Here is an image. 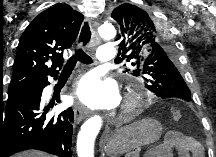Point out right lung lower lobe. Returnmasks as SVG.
Segmentation results:
<instances>
[{
    "label": "right lung lower lobe",
    "instance_id": "1",
    "mask_svg": "<svg viewBox=\"0 0 216 157\" xmlns=\"http://www.w3.org/2000/svg\"><path fill=\"white\" fill-rule=\"evenodd\" d=\"M47 85L48 80L24 88L0 107V157L26 149L72 157L73 110L46 115L50 105L44 107L41 95Z\"/></svg>",
    "mask_w": 216,
    "mask_h": 157
}]
</instances>
